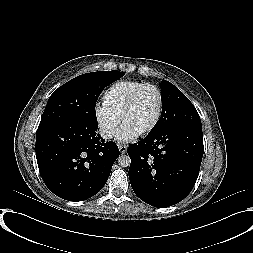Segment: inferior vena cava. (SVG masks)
Wrapping results in <instances>:
<instances>
[{"label":"inferior vena cava","mask_w":253,"mask_h":253,"mask_svg":"<svg viewBox=\"0 0 253 253\" xmlns=\"http://www.w3.org/2000/svg\"><path fill=\"white\" fill-rule=\"evenodd\" d=\"M100 135L104 139H111L115 135V128L113 127H102L99 131Z\"/></svg>","instance_id":"obj_1"}]
</instances>
